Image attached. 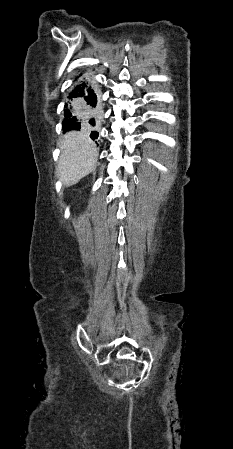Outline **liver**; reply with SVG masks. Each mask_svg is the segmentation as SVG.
<instances>
[{"instance_id":"6515ba94","label":"liver","mask_w":233,"mask_h":449,"mask_svg":"<svg viewBox=\"0 0 233 449\" xmlns=\"http://www.w3.org/2000/svg\"><path fill=\"white\" fill-rule=\"evenodd\" d=\"M60 147L62 152L56 173L64 185H74L94 170L98 151L88 134L69 132Z\"/></svg>"}]
</instances>
